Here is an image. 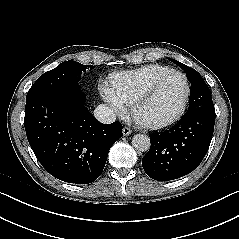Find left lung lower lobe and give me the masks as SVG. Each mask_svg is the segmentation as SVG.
<instances>
[{
    "mask_svg": "<svg viewBox=\"0 0 239 239\" xmlns=\"http://www.w3.org/2000/svg\"><path fill=\"white\" fill-rule=\"evenodd\" d=\"M214 124V106H201L186 112L169 130L150 134L151 147L142 159L146 174L168 181L191 173L208 151Z\"/></svg>",
    "mask_w": 239,
    "mask_h": 239,
    "instance_id": "1",
    "label": "left lung lower lobe"
}]
</instances>
